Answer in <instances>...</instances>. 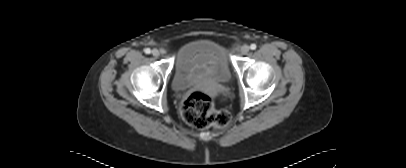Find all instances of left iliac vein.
<instances>
[{
  "label": "left iliac vein",
  "instance_id": "obj_1",
  "mask_svg": "<svg viewBox=\"0 0 406 168\" xmlns=\"http://www.w3.org/2000/svg\"><path fill=\"white\" fill-rule=\"evenodd\" d=\"M250 50V47L248 45H243L240 49L241 54L246 55Z\"/></svg>",
  "mask_w": 406,
  "mask_h": 168
}]
</instances>
